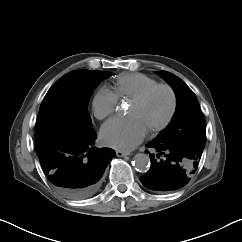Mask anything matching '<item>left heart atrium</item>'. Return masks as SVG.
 <instances>
[{
  "label": "left heart atrium",
  "instance_id": "left-heart-atrium-1",
  "mask_svg": "<svg viewBox=\"0 0 242 242\" xmlns=\"http://www.w3.org/2000/svg\"><path fill=\"white\" fill-rule=\"evenodd\" d=\"M146 133V129L136 117L127 115L113 117L104 123L100 137L102 142L109 147L129 151L142 142Z\"/></svg>",
  "mask_w": 242,
  "mask_h": 242
}]
</instances>
